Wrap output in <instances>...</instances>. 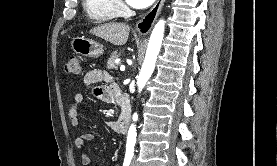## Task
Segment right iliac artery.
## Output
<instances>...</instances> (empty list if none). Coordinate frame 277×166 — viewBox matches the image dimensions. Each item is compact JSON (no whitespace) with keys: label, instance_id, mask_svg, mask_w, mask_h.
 I'll use <instances>...</instances> for the list:
<instances>
[{"label":"right iliac artery","instance_id":"obj_1","mask_svg":"<svg viewBox=\"0 0 277 166\" xmlns=\"http://www.w3.org/2000/svg\"><path fill=\"white\" fill-rule=\"evenodd\" d=\"M133 154H126L124 158L123 166H129L132 160Z\"/></svg>","mask_w":277,"mask_h":166}]
</instances>
